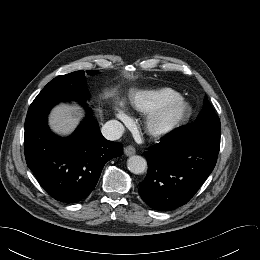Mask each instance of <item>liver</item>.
Listing matches in <instances>:
<instances>
[{
    "mask_svg": "<svg viewBox=\"0 0 260 260\" xmlns=\"http://www.w3.org/2000/svg\"><path fill=\"white\" fill-rule=\"evenodd\" d=\"M98 111L101 115L102 110L98 108ZM81 118L82 113L77 106L60 104L52 110L49 124L54 132L66 136L75 130Z\"/></svg>",
    "mask_w": 260,
    "mask_h": 260,
    "instance_id": "6515ba94",
    "label": "liver"
}]
</instances>
